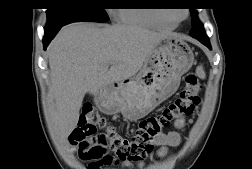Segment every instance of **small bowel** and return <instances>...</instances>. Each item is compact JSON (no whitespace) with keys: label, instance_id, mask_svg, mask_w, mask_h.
<instances>
[{"label":"small bowel","instance_id":"c3829d8e","mask_svg":"<svg viewBox=\"0 0 252 169\" xmlns=\"http://www.w3.org/2000/svg\"><path fill=\"white\" fill-rule=\"evenodd\" d=\"M185 126V120L183 118L178 119L175 122V127L177 130L183 129ZM180 143V134L177 131H171L165 134H161L156 137L152 144L153 146L158 147V156L166 157L169 154V149L171 147H175ZM138 167L142 169L144 167L143 163H138ZM122 169H132L133 164L129 162H125L121 166Z\"/></svg>","mask_w":252,"mask_h":169}]
</instances>
